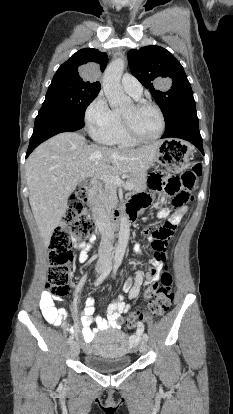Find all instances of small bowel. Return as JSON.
Listing matches in <instances>:
<instances>
[{
  "label": "small bowel",
  "mask_w": 233,
  "mask_h": 414,
  "mask_svg": "<svg viewBox=\"0 0 233 414\" xmlns=\"http://www.w3.org/2000/svg\"><path fill=\"white\" fill-rule=\"evenodd\" d=\"M151 201V197L145 194H139L134 197L131 204V209L137 213L139 210L148 206ZM163 200L161 199L160 202ZM187 207L185 205L178 207L177 210L170 216L167 225L176 226L180 223L182 218L187 213ZM162 217L167 215V211L162 209L160 212ZM93 245V240L88 243H79L77 248L79 249L78 259L80 262H85L88 259V253ZM135 254L139 256L141 254L138 246L135 247ZM163 262H155L154 269L149 270L145 275V285L151 287L159 279V274L162 269ZM143 284V272L139 270L137 272L135 281L133 284L126 285V289L129 292V298L134 299L139 294L140 288ZM61 300L48 292H43L40 295L39 306L42 312L43 317L47 322L55 326H65L64 319L66 316L65 309L61 306H58L57 303ZM127 309L124 299L120 296L117 299L112 300L109 305L104 306L103 315L104 318L97 316L94 318L95 311V299L93 297H88L85 300L83 313L81 317L82 330L80 332L83 347L86 350L90 349L89 344L93 341L95 334L98 330H105L109 327H118V318L120 315ZM95 322L96 329H92L91 325ZM70 332L74 335L78 334V330L75 327L69 329ZM143 331V324L139 322L137 334L131 337L132 342H135L140 333Z\"/></svg>",
  "instance_id": "obj_1"
}]
</instances>
